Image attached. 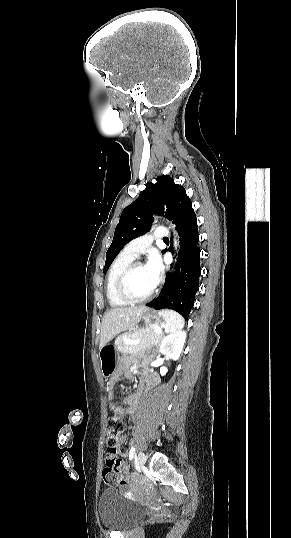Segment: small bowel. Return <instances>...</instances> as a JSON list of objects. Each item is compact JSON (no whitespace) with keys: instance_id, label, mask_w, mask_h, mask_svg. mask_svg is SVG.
<instances>
[{"instance_id":"c3829d8e","label":"small bowel","mask_w":291,"mask_h":538,"mask_svg":"<svg viewBox=\"0 0 291 538\" xmlns=\"http://www.w3.org/2000/svg\"><path fill=\"white\" fill-rule=\"evenodd\" d=\"M122 367H123V369H125L127 367V362L126 361H124L122 363ZM119 374H120L119 372L114 374L108 380V383H107V393H108V398L110 400L109 408L114 413H116L118 415L126 414V415H129V416H135L139 411V401H140V396H141L142 390L144 389V385L140 386V389H139L138 392L133 393V394H129L125 398H123L121 402H122V404H124V406H121V405L118 404V401L114 396V389H115V385H116V383H117V381L119 379ZM127 376H129V375L127 374ZM124 442H125V437L122 435L118 439L117 446L119 447ZM118 453L121 456H126L127 455L126 453H121L119 451H118Z\"/></svg>"}]
</instances>
